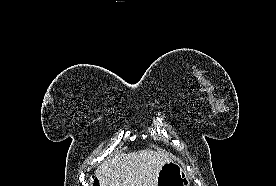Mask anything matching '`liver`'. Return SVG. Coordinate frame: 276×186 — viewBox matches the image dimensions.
<instances>
[{
    "label": "liver",
    "mask_w": 276,
    "mask_h": 186,
    "mask_svg": "<svg viewBox=\"0 0 276 186\" xmlns=\"http://www.w3.org/2000/svg\"><path fill=\"white\" fill-rule=\"evenodd\" d=\"M169 161L164 151L118 153L98 166L95 176L100 186H156L160 168Z\"/></svg>",
    "instance_id": "1"
}]
</instances>
